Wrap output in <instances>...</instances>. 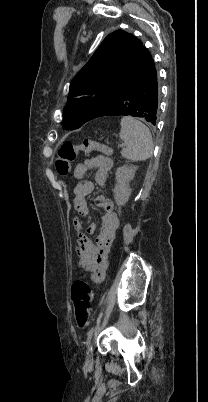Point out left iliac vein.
I'll return each instance as SVG.
<instances>
[{
    "mask_svg": "<svg viewBox=\"0 0 208 402\" xmlns=\"http://www.w3.org/2000/svg\"><path fill=\"white\" fill-rule=\"evenodd\" d=\"M86 364L88 366L93 364V344H91L88 348L87 355H86Z\"/></svg>",
    "mask_w": 208,
    "mask_h": 402,
    "instance_id": "left-iliac-vein-1",
    "label": "left iliac vein"
}]
</instances>
